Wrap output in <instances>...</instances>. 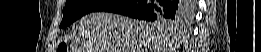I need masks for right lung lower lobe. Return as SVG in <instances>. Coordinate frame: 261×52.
Masks as SVG:
<instances>
[{"instance_id": "obj_1", "label": "right lung lower lobe", "mask_w": 261, "mask_h": 52, "mask_svg": "<svg viewBox=\"0 0 261 52\" xmlns=\"http://www.w3.org/2000/svg\"><path fill=\"white\" fill-rule=\"evenodd\" d=\"M137 19L154 21L159 18L174 19L188 11L181 0H126L104 9Z\"/></svg>"}]
</instances>
